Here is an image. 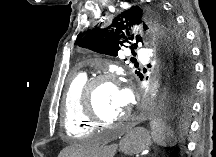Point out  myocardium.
Returning a JSON list of instances; mask_svg holds the SVG:
<instances>
[{
    "label": "myocardium",
    "mask_w": 216,
    "mask_h": 157,
    "mask_svg": "<svg viewBox=\"0 0 216 157\" xmlns=\"http://www.w3.org/2000/svg\"><path fill=\"white\" fill-rule=\"evenodd\" d=\"M104 85L116 86L111 75H98L88 80L83 86L81 103L85 117L89 119L94 125L100 124L104 126L120 124L126 121L129 118V112H126L121 117L110 121L105 120L97 113L95 106V95L96 91Z\"/></svg>",
    "instance_id": "obj_1"
}]
</instances>
